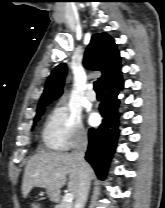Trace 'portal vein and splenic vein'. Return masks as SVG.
<instances>
[{
    "label": "portal vein and splenic vein",
    "mask_w": 165,
    "mask_h": 208,
    "mask_svg": "<svg viewBox=\"0 0 165 208\" xmlns=\"http://www.w3.org/2000/svg\"><path fill=\"white\" fill-rule=\"evenodd\" d=\"M56 176L58 177L59 174H56ZM73 199H74V196L72 193H66L64 196V202L66 203H72Z\"/></svg>",
    "instance_id": "obj_1"
}]
</instances>
